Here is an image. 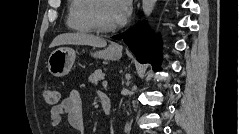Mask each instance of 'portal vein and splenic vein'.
Instances as JSON below:
<instances>
[{"label": "portal vein and splenic vein", "mask_w": 239, "mask_h": 134, "mask_svg": "<svg viewBox=\"0 0 239 134\" xmlns=\"http://www.w3.org/2000/svg\"><path fill=\"white\" fill-rule=\"evenodd\" d=\"M102 84H103V85H107L108 82H107L106 80H104V81L102 82Z\"/></svg>", "instance_id": "1"}]
</instances>
